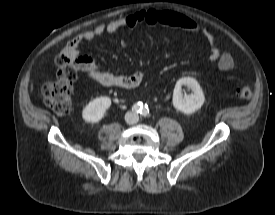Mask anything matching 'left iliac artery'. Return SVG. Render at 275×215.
<instances>
[{
	"instance_id": "1",
	"label": "left iliac artery",
	"mask_w": 275,
	"mask_h": 215,
	"mask_svg": "<svg viewBox=\"0 0 275 215\" xmlns=\"http://www.w3.org/2000/svg\"><path fill=\"white\" fill-rule=\"evenodd\" d=\"M141 115L144 116V117H147L149 115V109H148V106L145 105L144 107H142V110H141Z\"/></svg>"
}]
</instances>
